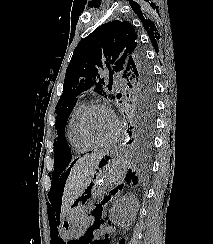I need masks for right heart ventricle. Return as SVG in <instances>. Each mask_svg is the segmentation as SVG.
I'll return each mask as SVG.
<instances>
[{"label":"right heart ventricle","mask_w":213,"mask_h":244,"mask_svg":"<svg viewBox=\"0 0 213 244\" xmlns=\"http://www.w3.org/2000/svg\"><path fill=\"white\" fill-rule=\"evenodd\" d=\"M85 102H79L73 108L67 125H66V137L68 143L73 151L76 153H86L92 149L89 145L85 144L79 137L77 133V122L79 120L80 115L86 108Z\"/></svg>","instance_id":"e07e8e85"}]
</instances>
